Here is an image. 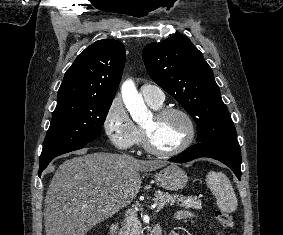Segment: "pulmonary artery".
<instances>
[{
	"label": "pulmonary artery",
	"mask_w": 283,
	"mask_h": 235,
	"mask_svg": "<svg viewBox=\"0 0 283 235\" xmlns=\"http://www.w3.org/2000/svg\"><path fill=\"white\" fill-rule=\"evenodd\" d=\"M141 93L146 101L154 104H162L165 98L162 89L156 85L144 84Z\"/></svg>",
	"instance_id": "1"
}]
</instances>
